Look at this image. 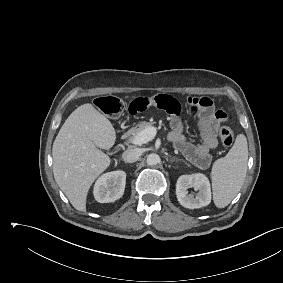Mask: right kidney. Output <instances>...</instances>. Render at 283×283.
<instances>
[{"label": "right kidney", "instance_id": "1", "mask_svg": "<svg viewBox=\"0 0 283 283\" xmlns=\"http://www.w3.org/2000/svg\"><path fill=\"white\" fill-rule=\"evenodd\" d=\"M126 184L124 171H112L103 174L94 185V197L99 203L114 202L121 198Z\"/></svg>", "mask_w": 283, "mask_h": 283}]
</instances>
